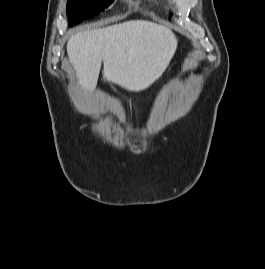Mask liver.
Segmentation results:
<instances>
[{
  "mask_svg": "<svg viewBox=\"0 0 265 269\" xmlns=\"http://www.w3.org/2000/svg\"><path fill=\"white\" fill-rule=\"evenodd\" d=\"M177 44L169 28L134 20L78 32L69 38L67 53L85 91L95 89L103 62L104 80L138 92L162 76Z\"/></svg>",
  "mask_w": 265,
  "mask_h": 269,
  "instance_id": "liver-1",
  "label": "liver"
}]
</instances>
